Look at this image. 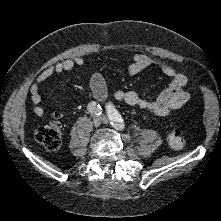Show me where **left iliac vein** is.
<instances>
[{"label":"left iliac vein","instance_id":"4c4485c4","mask_svg":"<svg viewBox=\"0 0 221 221\" xmlns=\"http://www.w3.org/2000/svg\"><path fill=\"white\" fill-rule=\"evenodd\" d=\"M101 118H102V122L104 123V124H107L108 122H109V120H108V118L106 117V116H101ZM118 130V129H117Z\"/></svg>","mask_w":221,"mask_h":221}]
</instances>
